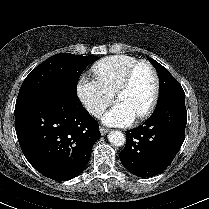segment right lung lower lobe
<instances>
[{"mask_svg":"<svg viewBox=\"0 0 209 209\" xmlns=\"http://www.w3.org/2000/svg\"><path fill=\"white\" fill-rule=\"evenodd\" d=\"M15 130L28 162L56 181L78 176L88 164L99 126L77 95L49 87L15 105Z\"/></svg>","mask_w":209,"mask_h":209,"instance_id":"98d812e1","label":"right lung lower lobe"}]
</instances>
